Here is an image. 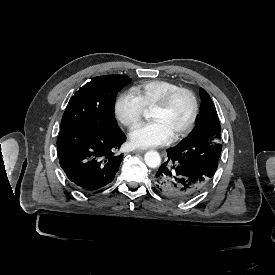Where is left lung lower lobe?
I'll return each mask as SVG.
<instances>
[{"mask_svg": "<svg viewBox=\"0 0 275 275\" xmlns=\"http://www.w3.org/2000/svg\"><path fill=\"white\" fill-rule=\"evenodd\" d=\"M209 177L168 154L154 176L156 189L165 197L181 201L203 193L211 184Z\"/></svg>", "mask_w": 275, "mask_h": 275, "instance_id": "left-lung-lower-lobe-1", "label": "left lung lower lobe"}]
</instances>
